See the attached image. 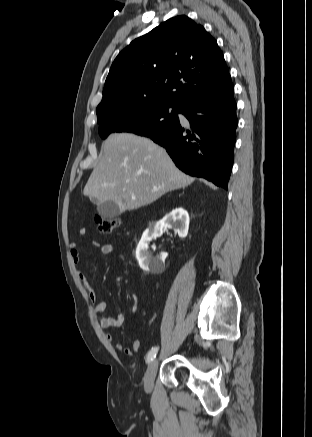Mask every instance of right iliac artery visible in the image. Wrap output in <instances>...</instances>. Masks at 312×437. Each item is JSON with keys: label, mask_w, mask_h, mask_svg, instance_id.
Listing matches in <instances>:
<instances>
[{"label": "right iliac artery", "mask_w": 312, "mask_h": 437, "mask_svg": "<svg viewBox=\"0 0 312 437\" xmlns=\"http://www.w3.org/2000/svg\"><path fill=\"white\" fill-rule=\"evenodd\" d=\"M157 352H158V347H153V348L149 351V353H148V355H147V360H146V362H147V363H150L151 361H153L154 358L156 357Z\"/></svg>", "instance_id": "right-iliac-artery-1"}]
</instances>
